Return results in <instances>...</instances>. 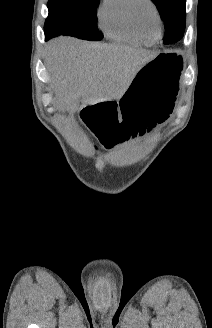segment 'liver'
Segmentation results:
<instances>
[{"label":"liver","instance_id":"6515ba94","mask_svg":"<svg viewBox=\"0 0 212 328\" xmlns=\"http://www.w3.org/2000/svg\"><path fill=\"white\" fill-rule=\"evenodd\" d=\"M150 51L59 37L49 45L47 67L55 79L54 104L74 113L85 104L120 99Z\"/></svg>","mask_w":212,"mask_h":328}]
</instances>
